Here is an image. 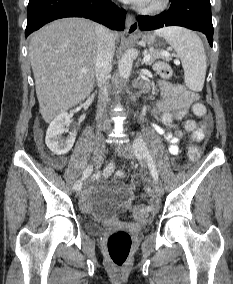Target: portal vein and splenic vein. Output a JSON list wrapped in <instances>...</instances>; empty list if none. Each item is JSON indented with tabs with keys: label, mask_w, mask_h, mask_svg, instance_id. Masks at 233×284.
<instances>
[{
	"label": "portal vein and splenic vein",
	"mask_w": 233,
	"mask_h": 284,
	"mask_svg": "<svg viewBox=\"0 0 233 284\" xmlns=\"http://www.w3.org/2000/svg\"><path fill=\"white\" fill-rule=\"evenodd\" d=\"M162 55L163 56H165V57H167L169 54L168 53H162ZM150 55L149 54H144V58H143V60H144V62H148L149 60H150ZM175 62V64H179V61L178 60H175L174 61ZM86 69H82V73H86Z\"/></svg>",
	"instance_id": "1"
}]
</instances>
